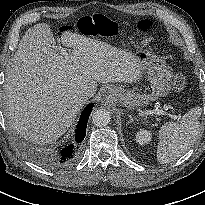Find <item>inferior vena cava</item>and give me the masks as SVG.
Returning <instances> with one entry per match:
<instances>
[{
    "instance_id": "1",
    "label": "inferior vena cava",
    "mask_w": 205,
    "mask_h": 205,
    "mask_svg": "<svg viewBox=\"0 0 205 205\" xmlns=\"http://www.w3.org/2000/svg\"><path fill=\"white\" fill-rule=\"evenodd\" d=\"M92 96V93L89 90L78 91L75 95V100L78 103L84 104L89 97Z\"/></svg>"
}]
</instances>
